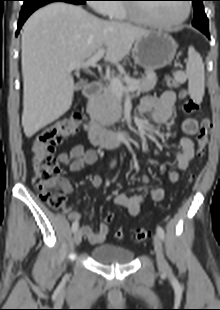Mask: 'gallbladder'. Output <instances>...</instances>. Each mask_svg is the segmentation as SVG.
<instances>
[{
	"instance_id": "bac80fb5",
	"label": "gallbladder",
	"mask_w": 220,
	"mask_h": 310,
	"mask_svg": "<svg viewBox=\"0 0 220 310\" xmlns=\"http://www.w3.org/2000/svg\"><path fill=\"white\" fill-rule=\"evenodd\" d=\"M84 86L83 82H78L75 84V90H80Z\"/></svg>"
}]
</instances>
